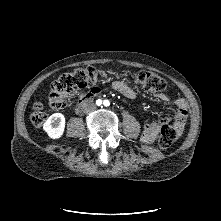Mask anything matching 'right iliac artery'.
I'll list each match as a JSON object with an SVG mask.
<instances>
[{
    "instance_id": "82829eb1",
    "label": "right iliac artery",
    "mask_w": 221,
    "mask_h": 221,
    "mask_svg": "<svg viewBox=\"0 0 221 221\" xmlns=\"http://www.w3.org/2000/svg\"><path fill=\"white\" fill-rule=\"evenodd\" d=\"M96 104H97V105H101V104H102V101L99 99V100L96 101Z\"/></svg>"
}]
</instances>
